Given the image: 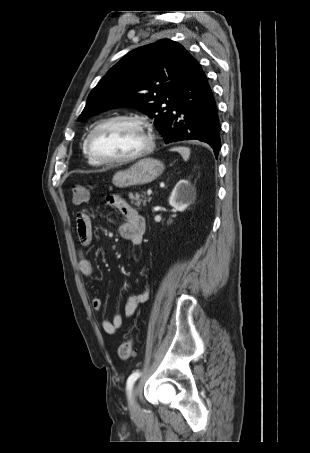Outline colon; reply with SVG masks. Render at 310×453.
Instances as JSON below:
<instances>
[{
  "label": "colon",
  "mask_w": 310,
  "mask_h": 453,
  "mask_svg": "<svg viewBox=\"0 0 310 453\" xmlns=\"http://www.w3.org/2000/svg\"><path fill=\"white\" fill-rule=\"evenodd\" d=\"M72 199L76 205H81L88 200V190L84 185L76 184L72 187ZM134 354V343L132 339H127L119 347L117 351L120 360H128Z\"/></svg>",
  "instance_id": "obj_1"
}]
</instances>
